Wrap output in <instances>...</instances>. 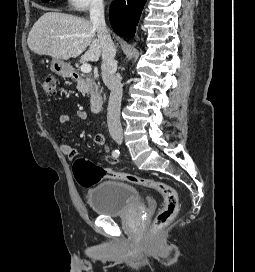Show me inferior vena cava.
Returning <instances> with one entry per match:
<instances>
[{
    "mask_svg": "<svg viewBox=\"0 0 255 272\" xmlns=\"http://www.w3.org/2000/svg\"><path fill=\"white\" fill-rule=\"evenodd\" d=\"M90 21L97 31L102 49V79L111 91L107 109L108 130L111 135L122 134L120 108L123 89L120 79L115 76L117 70V62L115 60L116 49L109 30L106 27L104 4L102 2H98L92 7Z\"/></svg>",
    "mask_w": 255,
    "mask_h": 272,
    "instance_id": "602c4592",
    "label": "inferior vena cava"
}]
</instances>
